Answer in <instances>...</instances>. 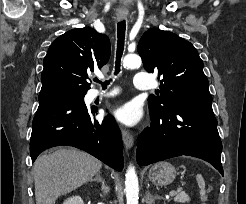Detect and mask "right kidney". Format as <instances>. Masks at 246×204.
<instances>
[{"mask_svg": "<svg viewBox=\"0 0 246 204\" xmlns=\"http://www.w3.org/2000/svg\"><path fill=\"white\" fill-rule=\"evenodd\" d=\"M63 204H84L80 196H73L63 202Z\"/></svg>", "mask_w": 246, "mask_h": 204, "instance_id": "obj_1", "label": "right kidney"}]
</instances>
